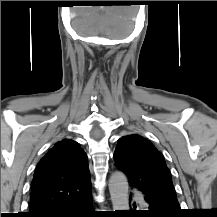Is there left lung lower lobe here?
Returning a JSON list of instances; mask_svg holds the SVG:
<instances>
[{
	"label": "left lung lower lobe",
	"mask_w": 217,
	"mask_h": 217,
	"mask_svg": "<svg viewBox=\"0 0 217 217\" xmlns=\"http://www.w3.org/2000/svg\"><path fill=\"white\" fill-rule=\"evenodd\" d=\"M146 203L148 204L149 210L141 212H130L129 214H137L149 217H177L179 212L168 209V207L162 203L158 202L152 198L144 197Z\"/></svg>",
	"instance_id": "0a47b994"
}]
</instances>
